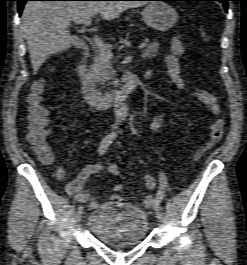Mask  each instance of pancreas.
<instances>
[{
    "mask_svg": "<svg viewBox=\"0 0 247 265\" xmlns=\"http://www.w3.org/2000/svg\"><path fill=\"white\" fill-rule=\"evenodd\" d=\"M160 44L155 41L148 44L143 50L142 57L144 59H151L155 57L158 53ZM92 74L96 81L100 82L102 86L107 87L112 85L115 80V71L112 67L111 58L106 57L100 51L94 57V63L92 66Z\"/></svg>",
    "mask_w": 247,
    "mask_h": 265,
    "instance_id": "obj_1",
    "label": "pancreas"
}]
</instances>
